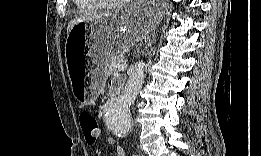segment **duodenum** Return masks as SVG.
I'll list each match as a JSON object with an SVG mask.
<instances>
[{
	"mask_svg": "<svg viewBox=\"0 0 261 156\" xmlns=\"http://www.w3.org/2000/svg\"><path fill=\"white\" fill-rule=\"evenodd\" d=\"M111 95H112V96L116 95V92H115V91H114V92H111Z\"/></svg>",
	"mask_w": 261,
	"mask_h": 156,
	"instance_id": "410a0bca",
	"label": "duodenum"
}]
</instances>
